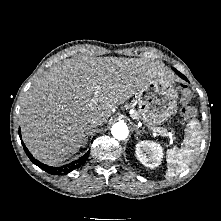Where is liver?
<instances>
[{"label":"liver","mask_w":221,"mask_h":221,"mask_svg":"<svg viewBox=\"0 0 221 221\" xmlns=\"http://www.w3.org/2000/svg\"><path fill=\"white\" fill-rule=\"evenodd\" d=\"M165 74L164 65L149 60L66 59L44 73L26 93L19 115L23 141L37 160L48 165L61 163L80 150L92 118L106 123L115 105Z\"/></svg>","instance_id":"obj_1"}]
</instances>
